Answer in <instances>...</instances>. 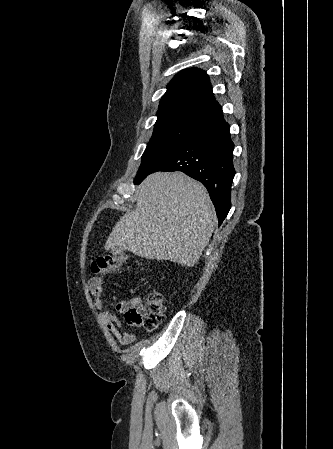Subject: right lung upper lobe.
Segmentation results:
<instances>
[{"label": "right lung upper lobe", "mask_w": 333, "mask_h": 449, "mask_svg": "<svg viewBox=\"0 0 333 449\" xmlns=\"http://www.w3.org/2000/svg\"><path fill=\"white\" fill-rule=\"evenodd\" d=\"M157 116L154 130L170 125L204 130L223 120L222 108L213 96L210 79L198 68L183 70L170 81Z\"/></svg>", "instance_id": "obj_1"}]
</instances>
